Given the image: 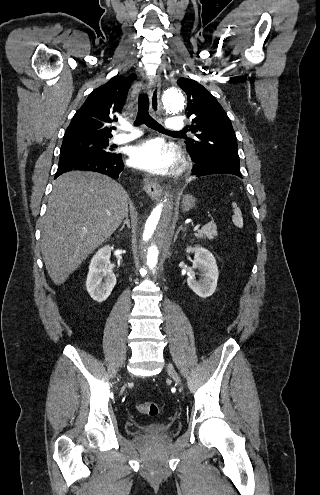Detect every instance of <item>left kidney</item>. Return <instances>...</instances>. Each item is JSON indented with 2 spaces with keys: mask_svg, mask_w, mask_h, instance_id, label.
I'll list each match as a JSON object with an SVG mask.
<instances>
[{
  "mask_svg": "<svg viewBox=\"0 0 320 495\" xmlns=\"http://www.w3.org/2000/svg\"><path fill=\"white\" fill-rule=\"evenodd\" d=\"M187 253H194L193 268L198 269L201 272V278L199 281L195 278V273H192L188 279L187 284L193 292L199 297L207 298L211 296L217 287V281L219 277V271L216 260L211 252L197 246L187 247Z\"/></svg>",
  "mask_w": 320,
  "mask_h": 495,
  "instance_id": "5707ae66",
  "label": "left kidney"
}]
</instances>
